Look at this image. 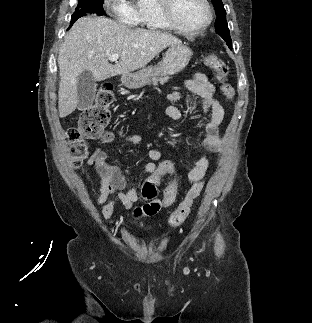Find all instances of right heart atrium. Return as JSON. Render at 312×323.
Here are the masks:
<instances>
[{"instance_id": "1", "label": "right heart atrium", "mask_w": 312, "mask_h": 323, "mask_svg": "<svg viewBox=\"0 0 312 323\" xmlns=\"http://www.w3.org/2000/svg\"><path fill=\"white\" fill-rule=\"evenodd\" d=\"M103 3L109 13H117L118 17H127L129 22H132L134 17H139V10H134L133 6H127V0H103Z\"/></svg>"}]
</instances>
